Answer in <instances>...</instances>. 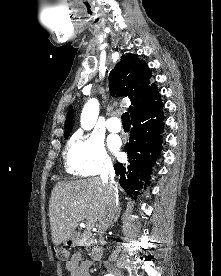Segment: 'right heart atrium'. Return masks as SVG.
Segmentation results:
<instances>
[{
  "instance_id": "right-heart-atrium-1",
  "label": "right heart atrium",
  "mask_w": 221,
  "mask_h": 276,
  "mask_svg": "<svg viewBox=\"0 0 221 276\" xmlns=\"http://www.w3.org/2000/svg\"><path fill=\"white\" fill-rule=\"evenodd\" d=\"M69 172L78 176H95L106 172L112 166L103 143L93 136L77 135L65 152Z\"/></svg>"
}]
</instances>
